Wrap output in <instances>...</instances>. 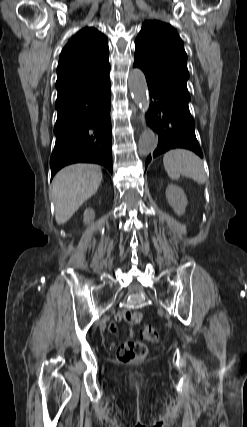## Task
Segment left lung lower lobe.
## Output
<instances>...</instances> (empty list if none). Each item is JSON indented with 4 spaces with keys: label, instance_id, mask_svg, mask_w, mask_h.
I'll return each mask as SVG.
<instances>
[{
    "label": "left lung lower lobe",
    "instance_id": "left-lung-lower-lobe-1",
    "mask_svg": "<svg viewBox=\"0 0 247 427\" xmlns=\"http://www.w3.org/2000/svg\"><path fill=\"white\" fill-rule=\"evenodd\" d=\"M146 80L150 94L147 123L159 135L158 146L147 157L146 167L152 158L174 148L192 150L203 158L195 136V123L189 111V101L154 80Z\"/></svg>",
    "mask_w": 247,
    "mask_h": 427
}]
</instances>
